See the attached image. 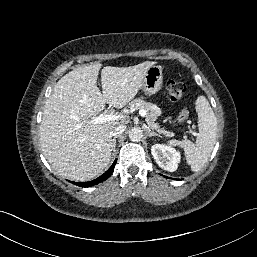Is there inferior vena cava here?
I'll return each mask as SVG.
<instances>
[{"label":"inferior vena cava","mask_w":257,"mask_h":257,"mask_svg":"<svg viewBox=\"0 0 257 257\" xmlns=\"http://www.w3.org/2000/svg\"><path fill=\"white\" fill-rule=\"evenodd\" d=\"M125 129H126V126H124V125H118V126L114 127V128L110 131L109 135H110L111 137L117 136V135H119V134H122V133L125 131Z\"/></svg>","instance_id":"1"}]
</instances>
